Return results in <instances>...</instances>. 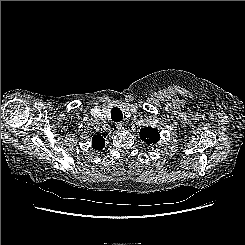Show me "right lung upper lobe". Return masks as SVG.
Here are the masks:
<instances>
[{"mask_svg":"<svg viewBox=\"0 0 245 245\" xmlns=\"http://www.w3.org/2000/svg\"><path fill=\"white\" fill-rule=\"evenodd\" d=\"M104 134L101 136V134H96L92 137V144L93 148L96 150H101L103 149L105 145V140H104Z\"/></svg>","mask_w":245,"mask_h":245,"instance_id":"right-lung-upper-lobe-1","label":"right lung upper lobe"}]
</instances>
